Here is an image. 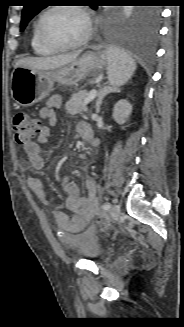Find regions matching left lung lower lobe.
<instances>
[{"label":"left lung lower lobe","instance_id":"1","mask_svg":"<svg viewBox=\"0 0 184 327\" xmlns=\"http://www.w3.org/2000/svg\"><path fill=\"white\" fill-rule=\"evenodd\" d=\"M160 11L156 7H143L135 20L111 34L110 42L123 52L151 55L159 29Z\"/></svg>","mask_w":184,"mask_h":327}]
</instances>
